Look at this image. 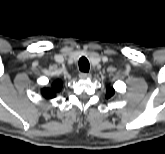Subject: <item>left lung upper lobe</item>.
Listing matches in <instances>:
<instances>
[{"label":"left lung upper lobe","instance_id":"5c2ea615","mask_svg":"<svg viewBox=\"0 0 165 154\" xmlns=\"http://www.w3.org/2000/svg\"><path fill=\"white\" fill-rule=\"evenodd\" d=\"M115 90L113 88H108L106 98H110L114 95Z\"/></svg>","mask_w":165,"mask_h":154}]
</instances>
